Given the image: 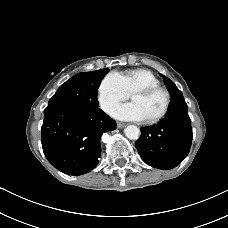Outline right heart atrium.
<instances>
[{
  "label": "right heart atrium",
  "mask_w": 228,
  "mask_h": 228,
  "mask_svg": "<svg viewBox=\"0 0 228 228\" xmlns=\"http://www.w3.org/2000/svg\"><path fill=\"white\" fill-rule=\"evenodd\" d=\"M128 96L118 73H109L103 77L97 88V101L100 109L109 113L119 102Z\"/></svg>",
  "instance_id": "right-heart-atrium-1"
}]
</instances>
